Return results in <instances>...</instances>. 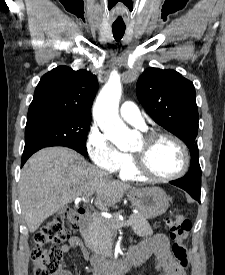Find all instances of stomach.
<instances>
[{
    "label": "stomach",
    "mask_w": 225,
    "mask_h": 275,
    "mask_svg": "<svg viewBox=\"0 0 225 275\" xmlns=\"http://www.w3.org/2000/svg\"><path fill=\"white\" fill-rule=\"evenodd\" d=\"M128 197L132 206L146 219L161 216L169 207V197L159 187L132 189Z\"/></svg>",
    "instance_id": "obj_1"
}]
</instances>
